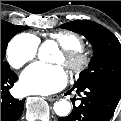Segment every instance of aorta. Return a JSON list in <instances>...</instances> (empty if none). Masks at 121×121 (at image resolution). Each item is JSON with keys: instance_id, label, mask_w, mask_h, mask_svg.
<instances>
[{"instance_id": "1", "label": "aorta", "mask_w": 121, "mask_h": 121, "mask_svg": "<svg viewBox=\"0 0 121 121\" xmlns=\"http://www.w3.org/2000/svg\"><path fill=\"white\" fill-rule=\"evenodd\" d=\"M54 49H56V44L54 42L47 41L43 43L39 48V53H38L39 59L41 61H47L49 54L52 53ZM70 110H71V105L65 99H61L60 101L54 104V111L58 116L62 117L67 116L70 113Z\"/></svg>"}]
</instances>
